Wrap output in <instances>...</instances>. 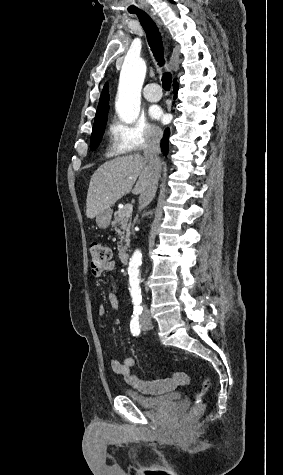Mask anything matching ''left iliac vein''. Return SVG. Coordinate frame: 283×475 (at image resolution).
Returning a JSON list of instances; mask_svg holds the SVG:
<instances>
[{"label":"left iliac vein","mask_w":283,"mask_h":475,"mask_svg":"<svg viewBox=\"0 0 283 475\" xmlns=\"http://www.w3.org/2000/svg\"><path fill=\"white\" fill-rule=\"evenodd\" d=\"M144 318H145V320L142 323L143 330L151 329V327H152L151 314L147 313Z\"/></svg>","instance_id":"4c4485c4"}]
</instances>
